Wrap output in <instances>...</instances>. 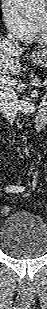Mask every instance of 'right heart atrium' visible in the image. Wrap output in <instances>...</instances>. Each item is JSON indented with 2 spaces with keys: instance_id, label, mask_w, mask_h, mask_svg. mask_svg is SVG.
<instances>
[{
  "instance_id": "d8ad5b80",
  "label": "right heart atrium",
  "mask_w": 47,
  "mask_h": 309,
  "mask_svg": "<svg viewBox=\"0 0 47 309\" xmlns=\"http://www.w3.org/2000/svg\"><path fill=\"white\" fill-rule=\"evenodd\" d=\"M2 17L9 33L19 40L32 37L34 29L32 24L19 12L12 0L2 1Z\"/></svg>"
}]
</instances>
